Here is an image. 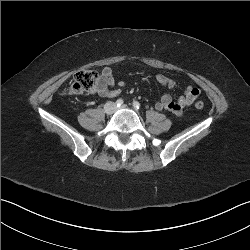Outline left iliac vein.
Instances as JSON below:
<instances>
[{
	"label": "left iliac vein",
	"instance_id": "obj_1",
	"mask_svg": "<svg viewBox=\"0 0 250 250\" xmlns=\"http://www.w3.org/2000/svg\"><path fill=\"white\" fill-rule=\"evenodd\" d=\"M126 108H128L127 105H122V106L120 107V109H126Z\"/></svg>",
	"mask_w": 250,
	"mask_h": 250
}]
</instances>
